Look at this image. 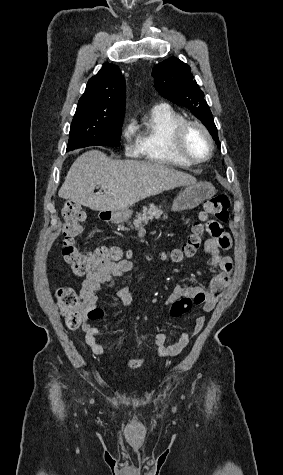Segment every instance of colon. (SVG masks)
Masks as SVG:
<instances>
[{
  "label": "colon",
  "mask_w": 283,
  "mask_h": 475,
  "mask_svg": "<svg viewBox=\"0 0 283 475\" xmlns=\"http://www.w3.org/2000/svg\"><path fill=\"white\" fill-rule=\"evenodd\" d=\"M215 217L219 224H225L230 218L229 198L226 194H218L208 199L204 208V217ZM86 213L81 205L68 201L62 209V242L61 257L70 267L73 274L84 277L92 274L107 263L119 265L128 259V252L118 247L98 246L87 252L77 248L76 241L82 234V223ZM205 226L198 222L192 226L185 243L176 251L177 258L195 256L203 243ZM130 268L131 263L126 262ZM57 307L65 317V324L70 330H76L81 324V316L77 313L80 306L86 304V299L81 297V292L72 286H63L57 293ZM192 306V299L185 297L180 302L170 307L172 314H187Z\"/></svg>",
  "instance_id": "1"
}]
</instances>
